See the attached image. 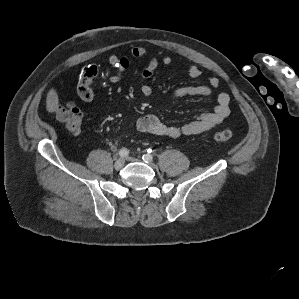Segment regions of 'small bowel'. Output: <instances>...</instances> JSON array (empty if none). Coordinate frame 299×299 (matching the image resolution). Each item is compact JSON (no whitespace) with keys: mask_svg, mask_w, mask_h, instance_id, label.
Returning a JSON list of instances; mask_svg holds the SVG:
<instances>
[{"mask_svg":"<svg viewBox=\"0 0 299 299\" xmlns=\"http://www.w3.org/2000/svg\"><path fill=\"white\" fill-rule=\"evenodd\" d=\"M130 55L134 58H144L148 57L149 53L144 47H134L131 49ZM171 63L172 59L169 56L150 58L147 66L141 73L142 82L140 84V91L144 96L148 97L152 94V88L145 80L150 78L160 65L168 66L171 65ZM109 64L114 69V72L109 76V81L111 83H118L122 80L125 71L129 68L130 60L127 56L112 55L109 58ZM98 72L97 66L94 65L87 66L82 70L77 87V95L83 102L89 103L93 100L94 92L91 83L98 75ZM187 73L191 78H199L202 75V70L196 65H190L187 69ZM218 86V78L212 77L209 79L207 85L178 88L174 92V98L181 99L190 96H209ZM215 102L216 105L212 111L201 113L194 120L183 125H167L158 116L148 114L140 117L136 126L140 132L170 138L200 134L214 128L230 114V98L227 93H217Z\"/></svg>","mask_w":299,"mask_h":299,"instance_id":"c3829d8e","label":"small bowel"}]
</instances>
